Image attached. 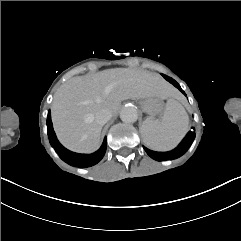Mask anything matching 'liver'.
<instances>
[{
  "mask_svg": "<svg viewBox=\"0 0 241 241\" xmlns=\"http://www.w3.org/2000/svg\"><path fill=\"white\" fill-rule=\"evenodd\" d=\"M170 97L169 84L159 74L118 68L72 77L54 95L52 122L59 141L68 149L91 153L100 146L102 125L87 123L88 114L102 109L114 116L127 99Z\"/></svg>",
  "mask_w": 241,
  "mask_h": 241,
  "instance_id": "1",
  "label": "liver"
}]
</instances>
